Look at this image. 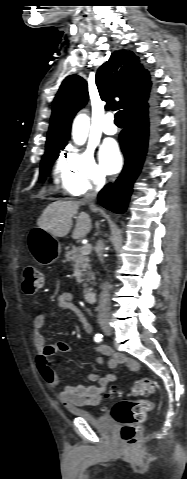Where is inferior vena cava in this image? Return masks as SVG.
I'll use <instances>...</instances> for the list:
<instances>
[{
	"mask_svg": "<svg viewBox=\"0 0 187 479\" xmlns=\"http://www.w3.org/2000/svg\"><path fill=\"white\" fill-rule=\"evenodd\" d=\"M104 184V179L97 182V185L92 190L88 191L84 199L82 200V204H88L90 209L93 212L97 211V208L94 205V199L96 197L97 191L100 187ZM104 242L102 240H98L96 244V250L98 251V257L101 263H103V253H104ZM110 312V284L105 282L103 284L102 292L100 294L99 299V306H98V318L100 320L106 319L109 316Z\"/></svg>",
	"mask_w": 187,
	"mask_h": 479,
	"instance_id": "inferior-vena-cava-1",
	"label": "inferior vena cava"
}]
</instances>
